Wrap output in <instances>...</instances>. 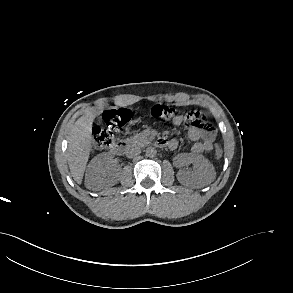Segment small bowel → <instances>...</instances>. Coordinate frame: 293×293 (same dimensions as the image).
Wrapping results in <instances>:
<instances>
[{
	"mask_svg": "<svg viewBox=\"0 0 293 293\" xmlns=\"http://www.w3.org/2000/svg\"><path fill=\"white\" fill-rule=\"evenodd\" d=\"M198 115L189 117V113L178 115L174 118L173 124L179 126L183 123L187 125L188 137L190 140L195 141L191 147V153L201 154L211 151L213 148V142L215 140V131L209 126L207 117L202 116L201 111H193ZM164 145L169 149L175 150L178 147V141L176 139L166 140L160 139Z\"/></svg>",
	"mask_w": 293,
	"mask_h": 293,
	"instance_id": "obj_1",
	"label": "small bowel"
}]
</instances>
